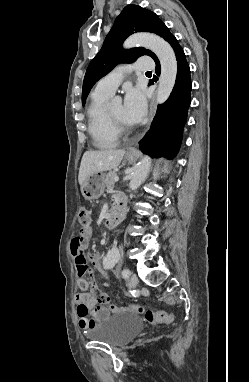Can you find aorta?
<instances>
[{
	"label": "aorta",
	"instance_id": "762f6f07",
	"mask_svg": "<svg viewBox=\"0 0 249 382\" xmlns=\"http://www.w3.org/2000/svg\"><path fill=\"white\" fill-rule=\"evenodd\" d=\"M141 45L150 49L158 57L161 64L159 85L156 91L157 103H164L170 96L177 77L178 65L175 52L163 38L151 33H139L130 36L124 43V48ZM151 167V158L144 157L131 176L129 188L136 190L147 178Z\"/></svg>",
	"mask_w": 249,
	"mask_h": 382
}]
</instances>
